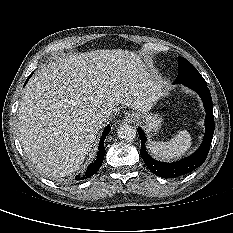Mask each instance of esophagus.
<instances>
[{"label":"esophagus","mask_w":233,"mask_h":233,"mask_svg":"<svg viewBox=\"0 0 233 233\" xmlns=\"http://www.w3.org/2000/svg\"><path fill=\"white\" fill-rule=\"evenodd\" d=\"M137 119V115L133 112H128L124 115L123 121L126 123H132Z\"/></svg>","instance_id":"34e87169"}]
</instances>
